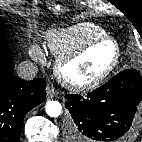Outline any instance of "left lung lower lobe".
Returning a JSON list of instances; mask_svg holds the SVG:
<instances>
[{
	"label": "left lung lower lobe",
	"mask_w": 142,
	"mask_h": 142,
	"mask_svg": "<svg viewBox=\"0 0 142 142\" xmlns=\"http://www.w3.org/2000/svg\"><path fill=\"white\" fill-rule=\"evenodd\" d=\"M66 98L72 117L67 130L70 142H122L131 132L142 101V76L126 69L86 98L74 94Z\"/></svg>",
	"instance_id": "left-lung-lower-lobe-1"
}]
</instances>
